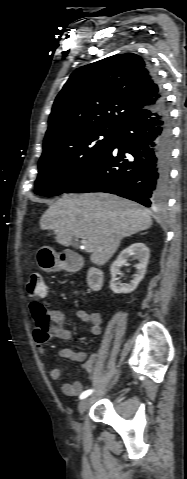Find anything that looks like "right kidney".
Returning <instances> with one entry per match:
<instances>
[{"label": "right kidney", "instance_id": "right-kidney-1", "mask_svg": "<svg viewBox=\"0 0 187 479\" xmlns=\"http://www.w3.org/2000/svg\"><path fill=\"white\" fill-rule=\"evenodd\" d=\"M149 257L150 251L143 243H134L128 248L124 249L111 265L110 272L112 278L110 281V289L116 294L130 293L134 291L146 274ZM128 258L137 259L139 261L135 265L136 273L134 274L133 280L130 282V284H120L116 276L119 274L120 268L127 264Z\"/></svg>", "mask_w": 187, "mask_h": 479}]
</instances>
